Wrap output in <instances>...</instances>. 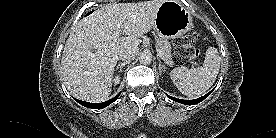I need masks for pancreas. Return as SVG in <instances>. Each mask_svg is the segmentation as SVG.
<instances>
[{
  "label": "pancreas",
  "mask_w": 276,
  "mask_h": 138,
  "mask_svg": "<svg viewBox=\"0 0 276 138\" xmlns=\"http://www.w3.org/2000/svg\"><path fill=\"white\" fill-rule=\"evenodd\" d=\"M156 48L160 49L163 52L166 62H169L171 65L173 63L171 56V45L166 38L159 37L157 38Z\"/></svg>",
  "instance_id": "pancreas-1"
}]
</instances>
